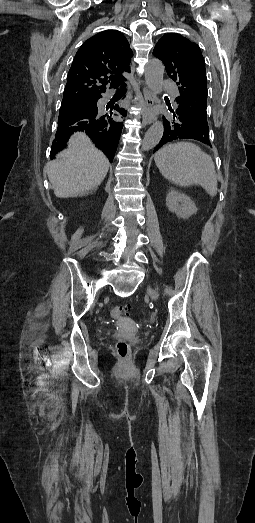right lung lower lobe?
Returning <instances> with one entry per match:
<instances>
[{
    "label": "right lung lower lobe",
    "mask_w": 255,
    "mask_h": 523,
    "mask_svg": "<svg viewBox=\"0 0 255 523\" xmlns=\"http://www.w3.org/2000/svg\"><path fill=\"white\" fill-rule=\"evenodd\" d=\"M79 118L84 120L86 123L85 128L90 130L92 128L91 123L100 118V111L97 105H92L89 109L87 106H82L79 109ZM83 139L86 142H91L94 139V134L91 131H86L83 134Z\"/></svg>",
    "instance_id": "obj_1"
}]
</instances>
